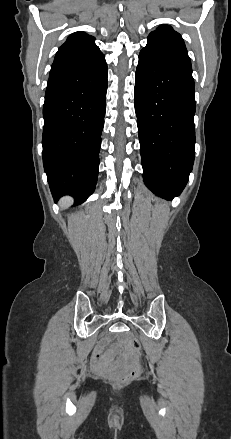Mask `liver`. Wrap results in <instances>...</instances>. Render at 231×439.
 <instances>
[{"mask_svg": "<svg viewBox=\"0 0 231 439\" xmlns=\"http://www.w3.org/2000/svg\"><path fill=\"white\" fill-rule=\"evenodd\" d=\"M72 204V199L70 197H65L60 201V205L64 208H67Z\"/></svg>", "mask_w": 231, "mask_h": 439, "instance_id": "6515ba94", "label": "liver"}]
</instances>
